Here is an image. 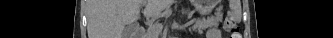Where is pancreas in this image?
Masks as SVG:
<instances>
[{
  "instance_id": "pancreas-1",
  "label": "pancreas",
  "mask_w": 333,
  "mask_h": 38,
  "mask_svg": "<svg viewBox=\"0 0 333 38\" xmlns=\"http://www.w3.org/2000/svg\"><path fill=\"white\" fill-rule=\"evenodd\" d=\"M160 26L154 25L153 27L149 28L147 31V38H154V36L159 32Z\"/></svg>"
}]
</instances>
